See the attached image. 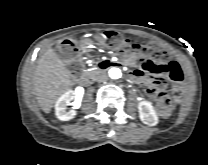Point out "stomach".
Listing matches in <instances>:
<instances>
[{
    "label": "stomach",
    "mask_w": 208,
    "mask_h": 165,
    "mask_svg": "<svg viewBox=\"0 0 208 165\" xmlns=\"http://www.w3.org/2000/svg\"><path fill=\"white\" fill-rule=\"evenodd\" d=\"M91 43H92V41L87 40V41H85V43H84V44H91Z\"/></svg>",
    "instance_id": "obj_1"
}]
</instances>
